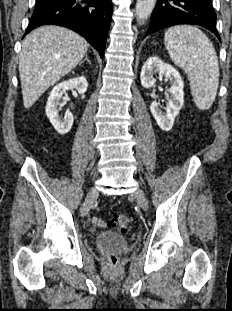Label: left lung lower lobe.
I'll use <instances>...</instances> for the list:
<instances>
[{"mask_svg":"<svg viewBox=\"0 0 232 311\" xmlns=\"http://www.w3.org/2000/svg\"><path fill=\"white\" fill-rule=\"evenodd\" d=\"M177 24L203 26L220 39L212 0H158L146 36Z\"/></svg>","mask_w":232,"mask_h":311,"instance_id":"obj_1","label":"left lung lower lobe"}]
</instances>
